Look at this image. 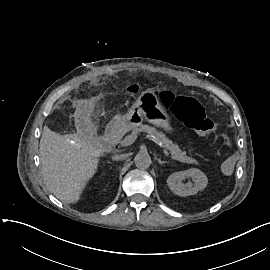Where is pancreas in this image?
<instances>
[{"instance_id":"pancreas-1","label":"pancreas","mask_w":270,"mask_h":270,"mask_svg":"<svg viewBox=\"0 0 270 270\" xmlns=\"http://www.w3.org/2000/svg\"><path fill=\"white\" fill-rule=\"evenodd\" d=\"M146 132L149 135H153L156 138L158 143L164 145L165 149L170 151L172 154L173 160H176L181 163L187 164H195L199 165V161L195 158L187 156L185 152H183L178 145L174 144L171 140H169L163 133L158 132L155 128L149 125H143L140 129L135 128L134 133Z\"/></svg>"}]
</instances>
